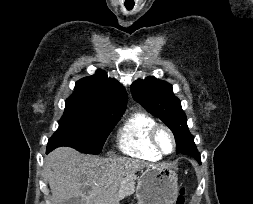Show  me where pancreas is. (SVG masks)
<instances>
[{
  "instance_id": "obj_1",
  "label": "pancreas",
  "mask_w": 253,
  "mask_h": 204,
  "mask_svg": "<svg viewBox=\"0 0 253 204\" xmlns=\"http://www.w3.org/2000/svg\"><path fill=\"white\" fill-rule=\"evenodd\" d=\"M135 178L134 177H126L120 184L119 193L123 196L131 195L135 191Z\"/></svg>"
}]
</instances>
